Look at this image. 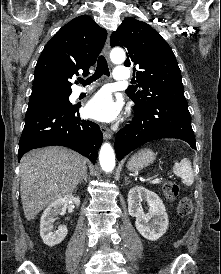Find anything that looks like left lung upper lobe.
Wrapping results in <instances>:
<instances>
[{"label":"left lung upper lobe","mask_w":221,"mask_h":274,"mask_svg":"<svg viewBox=\"0 0 221 274\" xmlns=\"http://www.w3.org/2000/svg\"><path fill=\"white\" fill-rule=\"evenodd\" d=\"M110 45L125 48L128 54L124 65L136 70L137 85L126 90L136 105L186 100L174 53L150 25L125 18L111 34Z\"/></svg>","instance_id":"1"}]
</instances>
